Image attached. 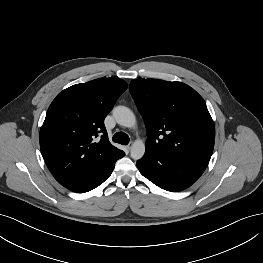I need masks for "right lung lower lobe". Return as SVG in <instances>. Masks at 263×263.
<instances>
[{
  "instance_id": "98d812e1",
  "label": "right lung lower lobe",
  "mask_w": 263,
  "mask_h": 263,
  "mask_svg": "<svg viewBox=\"0 0 263 263\" xmlns=\"http://www.w3.org/2000/svg\"><path fill=\"white\" fill-rule=\"evenodd\" d=\"M124 155L125 154L121 155L119 158H122ZM118 159L105 166L104 168L100 169L93 175L83 179L82 181L72 185L71 187H68V189L76 193H84L96 188L97 186L102 184L106 179L109 178L115 167V162Z\"/></svg>"
}]
</instances>
